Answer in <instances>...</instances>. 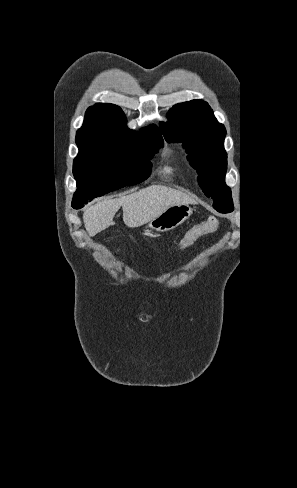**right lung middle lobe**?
Listing matches in <instances>:
<instances>
[{
  "label": "right lung middle lobe",
  "mask_w": 297,
  "mask_h": 488,
  "mask_svg": "<svg viewBox=\"0 0 297 488\" xmlns=\"http://www.w3.org/2000/svg\"><path fill=\"white\" fill-rule=\"evenodd\" d=\"M163 139L149 132L139 136L104 139L91 146L78 147L73 174L77 190L72 207L80 209L89 200L148 178L153 155Z\"/></svg>",
  "instance_id": "right-lung-middle-lobe-1"
}]
</instances>
